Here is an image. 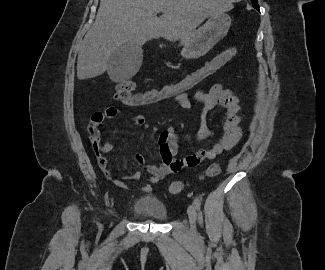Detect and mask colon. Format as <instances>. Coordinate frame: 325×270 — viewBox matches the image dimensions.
I'll return each mask as SVG.
<instances>
[{
	"label": "colon",
	"mask_w": 325,
	"mask_h": 270,
	"mask_svg": "<svg viewBox=\"0 0 325 270\" xmlns=\"http://www.w3.org/2000/svg\"><path fill=\"white\" fill-rule=\"evenodd\" d=\"M237 49L230 47L219 53L203 66L187 74L178 82L153 88L144 92H135V83L131 80H123L116 86L115 98L121 103L129 106L140 107L154 105L161 102L175 100L177 97L187 94L190 90L203 83L208 77L215 74L224 67L235 55ZM96 132L92 136H97ZM219 164H212L203 174L202 178L214 177L220 173ZM184 188V183L175 181L170 184L169 191L172 194L180 193Z\"/></svg>",
	"instance_id": "colon-1"
}]
</instances>
